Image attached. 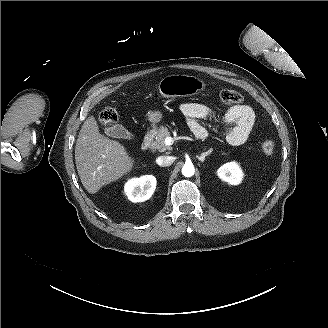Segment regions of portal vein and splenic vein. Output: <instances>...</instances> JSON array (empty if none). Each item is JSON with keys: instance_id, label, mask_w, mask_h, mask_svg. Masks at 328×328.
Returning <instances> with one entry per match:
<instances>
[{"instance_id": "obj_1", "label": "portal vein and splenic vein", "mask_w": 328, "mask_h": 328, "mask_svg": "<svg viewBox=\"0 0 328 328\" xmlns=\"http://www.w3.org/2000/svg\"><path fill=\"white\" fill-rule=\"evenodd\" d=\"M164 144L165 145H171V144H173V139L171 137L165 138Z\"/></svg>"}]
</instances>
